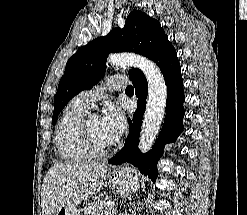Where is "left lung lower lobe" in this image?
Segmentation results:
<instances>
[{"label": "left lung lower lobe", "instance_id": "1", "mask_svg": "<svg viewBox=\"0 0 247 215\" xmlns=\"http://www.w3.org/2000/svg\"><path fill=\"white\" fill-rule=\"evenodd\" d=\"M159 66L168 88L166 101V117L162 130L156 140L153 149L142 154L138 149V140L141 130L142 117L146 107L148 93L147 80L139 71L130 78L138 97L137 109L130 120V130L125 146L108 163L120 165L131 163L138 167L139 171L148 176L153 182L157 179V163L163 155L166 143L174 142L183 131L182 119L184 117L183 103L185 101L183 91V79L177 53L173 45L167 40L157 51L152 59Z\"/></svg>", "mask_w": 247, "mask_h": 215}]
</instances>
